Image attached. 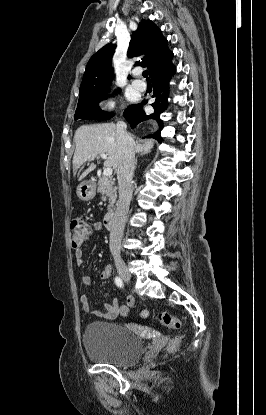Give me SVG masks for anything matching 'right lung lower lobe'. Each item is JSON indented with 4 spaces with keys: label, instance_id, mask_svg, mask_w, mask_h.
Masks as SVG:
<instances>
[{
    "label": "right lung lower lobe",
    "instance_id": "obj_1",
    "mask_svg": "<svg viewBox=\"0 0 266 415\" xmlns=\"http://www.w3.org/2000/svg\"><path fill=\"white\" fill-rule=\"evenodd\" d=\"M175 70V66L171 65L151 78L154 88L153 97L155 98V102L152 104L154 113L146 114L144 112L143 104L146 103V101H143L140 104L132 105L124 111V116L131 124L132 128L142 122L149 120L156 121L158 124V130L153 134H150L149 137L154 138L159 142L162 141L160 132L163 129V121L160 119V114L167 109V98L169 94L168 85L172 75L175 74Z\"/></svg>",
    "mask_w": 266,
    "mask_h": 415
}]
</instances>
